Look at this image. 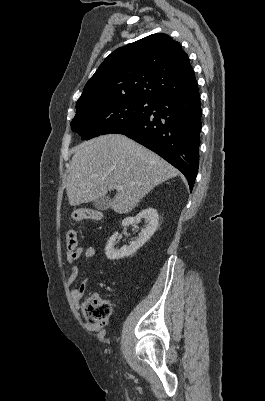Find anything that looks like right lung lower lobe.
<instances>
[{"label":"right lung lower lobe","instance_id":"right-lung-lower-lobe-1","mask_svg":"<svg viewBox=\"0 0 265 401\" xmlns=\"http://www.w3.org/2000/svg\"><path fill=\"white\" fill-rule=\"evenodd\" d=\"M154 111L114 133L126 135L160 155L184 174L192 190L199 167L201 131L197 83L158 100Z\"/></svg>","mask_w":265,"mask_h":401}]
</instances>
